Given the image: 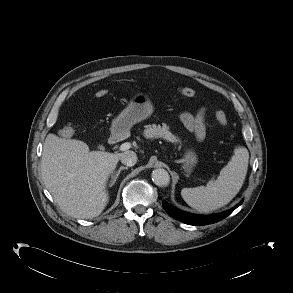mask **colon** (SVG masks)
<instances>
[{
	"label": "colon",
	"mask_w": 293,
	"mask_h": 293,
	"mask_svg": "<svg viewBox=\"0 0 293 293\" xmlns=\"http://www.w3.org/2000/svg\"><path fill=\"white\" fill-rule=\"evenodd\" d=\"M179 93L182 96L185 97H194L196 95V92L188 87H183L180 88ZM107 94V90H98L95 95L96 97L100 98L103 97ZM215 118L216 120L219 122V124H221L222 126H227L228 124V118L227 115L225 114V112L219 108L215 109ZM75 133V130L72 126H65L60 130V135L63 138H71Z\"/></svg>",
	"instance_id": "obj_1"
}]
</instances>
